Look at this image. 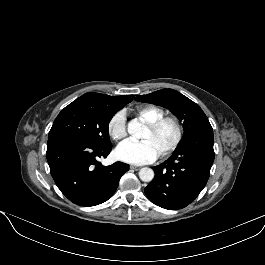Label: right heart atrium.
<instances>
[{"instance_id": "obj_1", "label": "right heart atrium", "mask_w": 265, "mask_h": 265, "mask_svg": "<svg viewBox=\"0 0 265 265\" xmlns=\"http://www.w3.org/2000/svg\"><path fill=\"white\" fill-rule=\"evenodd\" d=\"M107 132L115 141H121L126 137V116L123 111H117L110 117L107 123Z\"/></svg>"}]
</instances>
